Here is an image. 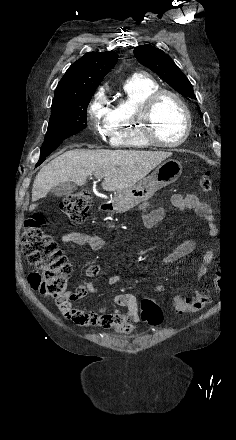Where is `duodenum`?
I'll list each match as a JSON object with an SVG mask.
<instances>
[{
	"mask_svg": "<svg viewBox=\"0 0 236 440\" xmlns=\"http://www.w3.org/2000/svg\"><path fill=\"white\" fill-rule=\"evenodd\" d=\"M114 207V203L110 200L104 201L100 206H99V210L102 212H107L112 210Z\"/></svg>",
	"mask_w": 236,
	"mask_h": 440,
	"instance_id": "duodenum-1",
	"label": "duodenum"
}]
</instances>
